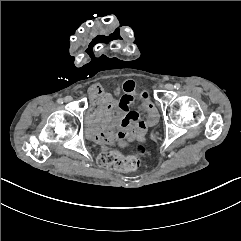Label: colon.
<instances>
[{"label": "colon", "mask_w": 241, "mask_h": 241, "mask_svg": "<svg viewBox=\"0 0 241 241\" xmlns=\"http://www.w3.org/2000/svg\"><path fill=\"white\" fill-rule=\"evenodd\" d=\"M134 151L137 155H143V147L137 145L134 147ZM98 166L113 170H127L134 168L139 162L133 155H122L115 151L100 153L96 159Z\"/></svg>", "instance_id": "obj_1"}]
</instances>
